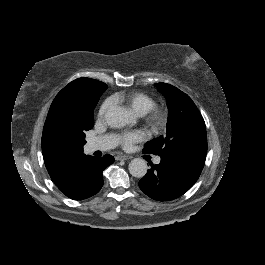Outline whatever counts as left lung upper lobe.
<instances>
[{"label":"left lung upper lobe","mask_w":265,"mask_h":265,"mask_svg":"<svg viewBox=\"0 0 265 265\" xmlns=\"http://www.w3.org/2000/svg\"><path fill=\"white\" fill-rule=\"evenodd\" d=\"M168 104L166 134L146 143L144 153L159 156L207 153L205 122L191 98L178 88L156 83Z\"/></svg>","instance_id":"left-lung-upper-lobe-1"}]
</instances>
